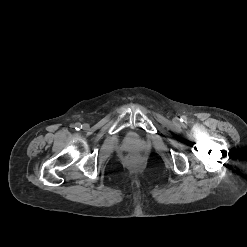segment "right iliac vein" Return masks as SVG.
I'll list each match as a JSON object with an SVG mask.
<instances>
[{
	"mask_svg": "<svg viewBox=\"0 0 247 247\" xmlns=\"http://www.w3.org/2000/svg\"><path fill=\"white\" fill-rule=\"evenodd\" d=\"M83 127L86 129V128H88V125L87 124H84Z\"/></svg>",
	"mask_w": 247,
	"mask_h": 247,
	"instance_id": "63e3f726",
	"label": "right iliac vein"
}]
</instances>
